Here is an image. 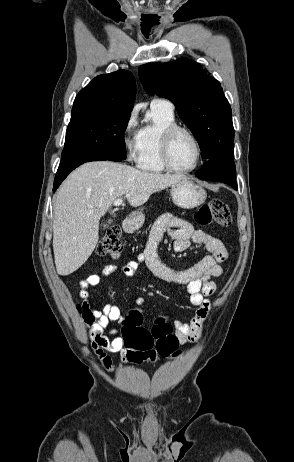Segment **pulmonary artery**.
I'll use <instances>...</instances> for the list:
<instances>
[{"instance_id": "obj_1", "label": "pulmonary artery", "mask_w": 294, "mask_h": 462, "mask_svg": "<svg viewBox=\"0 0 294 462\" xmlns=\"http://www.w3.org/2000/svg\"><path fill=\"white\" fill-rule=\"evenodd\" d=\"M151 105L163 106L169 110H174V105L169 100H166V99L154 98L151 101Z\"/></svg>"}]
</instances>
